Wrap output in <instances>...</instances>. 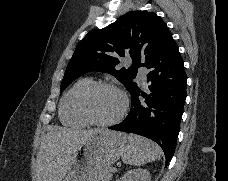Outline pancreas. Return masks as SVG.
<instances>
[{
	"mask_svg": "<svg viewBox=\"0 0 228 181\" xmlns=\"http://www.w3.org/2000/svg\"><path fill=\"white\" fill-rule=\"evenodd\" d=\"M112 169L110 167V169H106V171H104V173H107V177H105V179H107V181H111L112 179Z\"/></svg>",
	"mask_w": 228,
	"mask_h": 181,
	"instance_id": "cf45deb5",
	"label": "pancreas"
}]
</instances>
